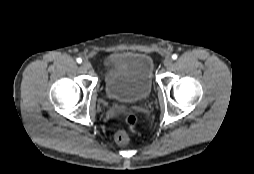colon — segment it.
I'll return each mask as SVG.
<instances>
[{
  "label": "colon",
  "instance_id": "5ec220e1",
  "mask_svg": "<svg viewBox=\"0 0 254 174\" xmlns=\"http://www.w3.org/2000/svg\"><path fill=\"white\" fill-rule=\"evenodd\" d=\"M138 123V118L135 115L127 116L114 131L115 142L120 145L127 144Z\"/></svg>",
  "mask_w": 254,
  "mask_h": 174
}]
</instances>
